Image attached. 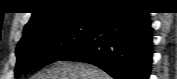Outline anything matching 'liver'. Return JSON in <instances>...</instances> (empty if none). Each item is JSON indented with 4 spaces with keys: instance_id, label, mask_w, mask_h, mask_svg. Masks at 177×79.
I'll list each match as a JSON object with an SVG mask.
<instances>
[{
    "instance_id": "liver-1",
    "label": "liver",
    "mask_w": 177,
    "mask_h": 79,
    "mask_svg": "<svg viewBox=\"0 0 177 79\" xmlns=\"http://www.w3.org/2000/svg\"><path fill=\"white\" fill-rule=\"evenodd\" d=\"M32 79H111L103 70L91 64L72 61H57L44 68Z\"/></svg>"
}]
</instances>
